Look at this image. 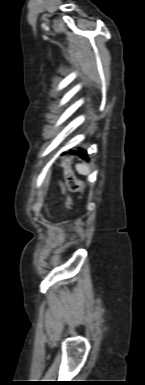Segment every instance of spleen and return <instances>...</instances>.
I'll use <instances>...</instances> for the list:
<instances>
[{
  "instance_id": "3e777b00",
  "label": "spleen",
  "mask_w": 145,
  "mask_h": 385,
  "mask_svg": "<svg viewBox=\"0 0 145 385\" xmlns=\"http://www.w3.org/2000/svg\"><path fill=\"white\" fill-rule=\"evenodd\" d=\"M76 170L78 171L79 174L81 175H89L90 169L87 164H77L76 165Z\"/></svg>"
}]
</instances>
